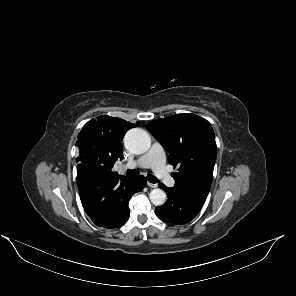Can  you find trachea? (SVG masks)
I'll return each mask as SVG.
<instances>
[{"label": "trachea", "mask_w": 296, "mask_h": 296, "mask_svg": "<svg viewBox=\"0 0 296 296\" xmlns=\"http://www.w3.org/2000/svg\"><path fill=\"white\" fill-rule=\"evenodd\" d=\"M138 174H139L138 170H127V172H126V175L128 177H136ZM147 179L150 183H157L158 182V179L152 174L147 175Z\"/></svg>", "instance_id": "trachea-1"}]
</instances>
